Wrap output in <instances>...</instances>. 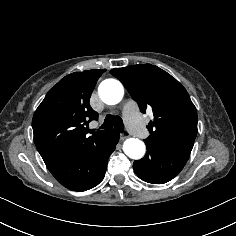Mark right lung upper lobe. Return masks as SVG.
<instances>
[{"label":"right lung upper lobe","mask_w":236,"mask_h":236,"mask_svg":"<svg viewBox=\"0 0 236 236\" xmlns=\"http://www.w3.org/2000/svg\"><path fill=\"white\" fill-rule=\"evenodd\" d=\"M106 70L74 72L46 94L32 120L34 141L46 165L94 145L112 130L89 136L88 122L98 119L89 105L97 80Z\"/></svg>","instance_id":"right-lung-upper-lobe-1"}]
</instances>
